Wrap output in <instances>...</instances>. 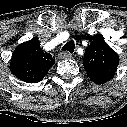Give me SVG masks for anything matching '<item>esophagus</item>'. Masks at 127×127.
<instances>
[{"label":"esophagus","instance_id":"34e87169","mask_svg":"<svg viewBox=\"0 0 127 127\" xmlns=\"http://www.w3.org/2000/svg\"><path fill=\"white\" fill-rule=\"evenodd\" d=\"M58 56L61 58V59H68V58H71L72 57V54L70 52H67V51H62L58 54Z\"/></svg>","mask_w":127,"mask_h":127}]
</instances>
